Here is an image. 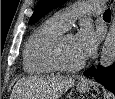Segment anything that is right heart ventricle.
I'll use <instances>...</instances> for the list:
<instances>
[{
	"mask_svg": "<svg viewBox=\"0 0 115 99\" xmlns=\"http://www.w3.org/2000/svg\"><path fill=\"white\" fill-rule=\"evenodd\" d=\"M66 29L51 19L38 26L28 38L23 51L24 70L30 75H48L56 72L49 51L54 40Z\"/></svg>",
	"mask_w": 115,
	"mask_h": 99,
	"instance_id": "1",
	"label": "right heart ventricle"
}]
</instances>
